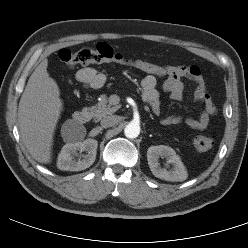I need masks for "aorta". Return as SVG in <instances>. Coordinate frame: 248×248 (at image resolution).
Returning <instances> with one entry per match:
<instances>
[{"instance_id": "1", "label": "aorta", "mask_w": 248, "mask_h": 248, "mask_svg": "<svg viewBox=\"0 0 248 248\" xmlns=\"http://www.w3.org/2000/svg\"><path fill=\"white\" fill-rule=\"evenodd\" d=\"M124 134L127 138L133 139L139 136L140 126L135 122H130L124 129Z\"/></svg>"}]
</instances>
